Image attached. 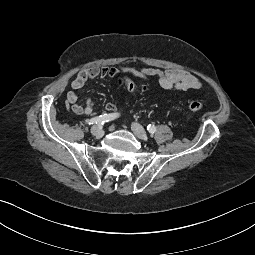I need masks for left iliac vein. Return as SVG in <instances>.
Masks as SVG:
<instances>
[{"label": "left iliac vein", "instance_id": "left-iliac-vein-1", "mask_svg": "<svg viewBox=\"0 0 255 255\" xmlns=\"http://www.w3.org/2000/svg\"><path fill=\"white\" fill-rule=\"evenodd\" d=\"M131 129L133 133L140 139L146 141L148 139V135L145 132L144 128L138 123H132Z\"/></svg>", "mask_w": 255, "mask_h": 255}]
</instances>
